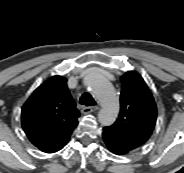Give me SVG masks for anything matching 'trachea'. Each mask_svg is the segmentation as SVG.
Returning a JSON list of instances; mask_svg holds the SVG:
<instances>
[{"instance_id": "3493384b", "label": "trachea", "mask_w": 184, "mask_h": 173, "mask_svg": "<svg viewBox=\"0 0 184 173\" xmlns=\"http://www.w3.org/2000/svg\"><path fill=\"white\" fill-rule=\"evenodd\" d=\"M79 103L84 106H94L96 105L95 100L89 93H84L79 99Z\"/></svg>"}]
</instances>
